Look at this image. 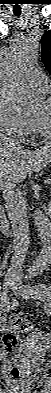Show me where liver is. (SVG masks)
I'll return each instance as SVG.
<instances>
[{
	"label": "liver",
	"mask_w": 51,
	"mask_h": 393,
	"mask_svg": "<svg viewBox=\"0 0 51 393\" xmlns=\"http://www.w3.org/2000/svg\"><path fill=\"white\" fill-rule=\"evenodd\" d=\"M50 161V145L34 151L24 150L14 140L0 135L1 186L22 182L28 175L45 168Z\"/></svg>",
	"instance_id": "obj_1"
}]
</instances>
